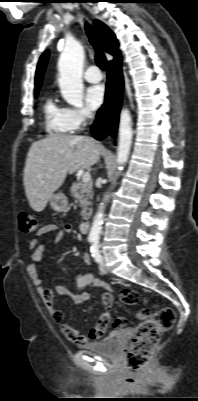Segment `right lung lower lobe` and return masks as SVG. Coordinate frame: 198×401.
I'll list each match as a JSON object with an SVG mask.
<instances>
[{"label":"right lung lower lobe","instance_id":"obj_1","mask_svg":"<svg viewBox=\"0 0 198 401\" xmlns=\"http://www.w3.org/2000/svg\"><path fill=\"white\" fill-rule=\"evenodd\" d=\"M123 76L121 70L120 53L110 61L107 69V84L105 102L98 110L97 118L92 125V135L100 140L108 133L113 136L117 132L119 112L122 102Z\"/></svg>","mask_w":198,"mask_h":401}]
</instances>
